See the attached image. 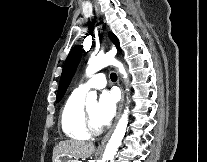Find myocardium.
<instances>
[{"mask_svg":"<svg viewBox=\"0 0 207 162\" xmlns=\"http://www.w3.org/2000/svg\"><path fill=\"white\" fill-rule=\"evenodd\" d=\"M83 115H84V125L86 130L91 134V135H98L102 132V127L97 126L94 124V122L91 119V116L89 114L88 108L84 107L83 110Z\"/></svg>","mask_w":207,"mask_h":162,"instance_id":"f54148a6","label":"myocardium"}]
</instances>
